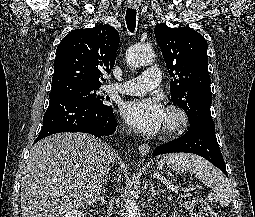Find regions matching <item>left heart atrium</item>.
I'll list each match as a JSON object with an SVG mask.
<instances>
[{"mask_svg":"<svg viewBox=\"0 0 255 217\" xmlns=\"http://www.w3.org/2000/svg\"><path fill=\"white\" fill-rule=\"evenodd\" d=\"M123 119L133 129L142 134L158 133L165 121V110L156 99H134L121 105Z\"/></svg>","mask_w":255,"mask_h":217,"instance_id":"obj_1","label":"left heart atrium"}]
</instances>
